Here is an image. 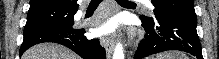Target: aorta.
<instances>
[{"instance_id": "1", "label": "aorta", "mask_w": 219, "mask_h": 59, "mask_svg": "<svg viewBox=\"0 0 219 59\" xmlns=\"http://www.w3.org/2000/svg\"><path fill=\"white\" fill-rule=\"evenodd\" d=\"M113 59H124V52L121 43H117L114 50Z\"/></svg>"}]
</instances>
